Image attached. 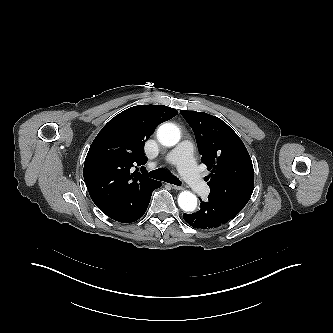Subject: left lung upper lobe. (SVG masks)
<instances>
[{
    "mask_svg": "<svg viewBox=\"0 0 333 333\" xmlns=\"http://www.w3.org/2000/svg\"><path fill=\"white\" fill-rule=\"evenodd\" d=\"M192 127L201 161L211 171L210 196L240 212L253 193L250 155L238 135L221 119L203 112L181 110Z\"/></svg>",
    "mask_w": 333,
    "mask_h": 333,
    "instance_id": "left-lung-upper-lobe-1",
    "label": "left lung upper lobe"
}]
</instances>
